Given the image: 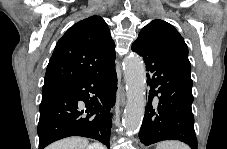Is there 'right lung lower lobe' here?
I'll return each mask as SVG.
<instances>
[{
  "mask_svg": "<svg viewBox=\"0 0 227 149\" xmlns=\"http://www.w3.org/2000/svg\"><path fill=\"white\" fill-rule=\"evenodd\" d=\"M116 90L114 60L97 71L56 88L40 104L39 149L69 136L93 138L109 148L110 109L115 104ZM79 101L85 103V109L78 106Z\"/></svg>",
  "mask_w": 227,
  "mask_h": 149,
  "instance_id": "obj_1",
  "label": "right lung lower lobe"
}]
</instances>
